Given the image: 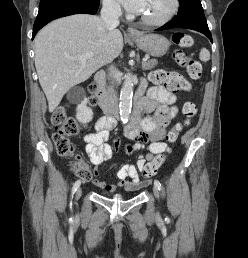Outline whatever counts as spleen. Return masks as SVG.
Masks as SVG:
<instances>
[{
  "instance_id": "spleen-1",
  "label": "spleen",
  "mask_w": 248,
  "mask_h": 258,
  "mask_svg": "<svg viewBox=\"0 0 248 258\" xmlns=\"http://www.w3.org/2000/svg\"><path fill=\"white\" fill-rule=\"evenodd\" d=\"M199 59L202 62H207L210 60V52L206 48H202L199 53Z\"/></svg>"
}]
</instances>
